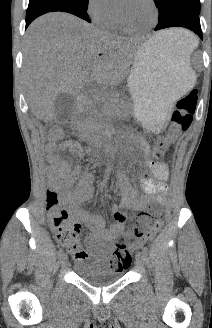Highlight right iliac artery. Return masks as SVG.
I'll list each match as a JSON object with an SVG mask.
<instances>
[{
  "instance_id": "obj_1",
  "label": "right iliac artery",
  "mask_w": 212,
  "mask_h": 328,
  "mask_svg": "<svg viewBox=\"0 0 212 328\" xmlns=\"http://www.w3.org/2000/svg\"><path fill=\"white\" fill-rule=\"evenodd\" d=\"M62 256H64V252L62 249H59L58 251V257L61 258Z\"/></svg>"
}]
</instances>
